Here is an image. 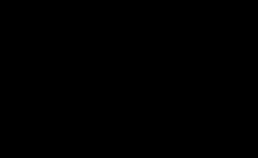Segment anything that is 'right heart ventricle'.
<instances>
[{"mask_svg":"<svg viewBox=\"0 0 258 158\" xmlns=\"http://www.w3.org/2000/svg\"><path fill=\"white\" fill-rule=\"evenodd\" d=\"M158 42L159 40L154 38L131 39L121 43L119 47L124 56V60L129 64H133ZM118 54L121 56L120 53Z\"/></svg>","mask_w":258,"mask_h":158,"instance_id":"1","label":"right heart ventricle"}]
</instances>
